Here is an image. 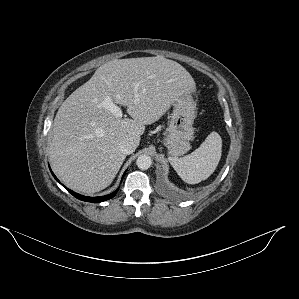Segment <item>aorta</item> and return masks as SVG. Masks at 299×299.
<instances>
[{
    "label": "aorta",
    "instance_id": "1",
    "mask_svg": "<svg viewBox=\"0 0 299 299\" xmlns=\"http://www.w3.org/2000/svg\"><path fill=\"white\" fill-rule=\"evenodd\" d=\"M137 167L141 170H147L152 165V159L149 155L142 154L136 160Z\"/></svg>",
    "mask_w": 299,
    "mask_h": 299
}]
</instances>
